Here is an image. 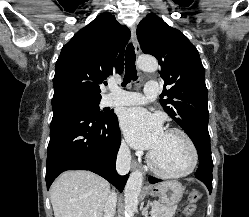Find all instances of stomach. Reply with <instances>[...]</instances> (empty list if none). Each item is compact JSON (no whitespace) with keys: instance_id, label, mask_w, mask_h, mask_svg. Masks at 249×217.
Here are the masks:
<instances>
[{"instance_id":"obj_1","label":"stomach","mask_w":249,"mask_h":217,"mask_svg":"<svg viewBox=\"0 0 249 217\" xmlns=\"http://www.w3.org/2000/svg\"><path fill=\"white\" fill-rule=\"evenodd\" d=\"M147 190L151 196L158 197L159 201L168 207L177 205L184 192L183 186L176 180H168L154 186H149Z\"/></svg>"}]
</instances>
